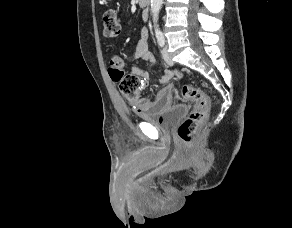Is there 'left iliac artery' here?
Masks as SVG:
<instances>
[{"label": "left iliac artery", "instance_id": "44dca946", "mask_svg": "<svg viewBox=\"0 0 292 228\" xmlns=\"http://www.w3.org/2000/svg\"><path fill=\"white\" fill-rule=\"evenodd\" d=\"M156 38H157V41H158L159 46L160 47H163L164 44H165L164 35L161 32H159V33L156 34Z\"/></svg>", "mask_w": 292, "mask_h": 228}]
</instances>
